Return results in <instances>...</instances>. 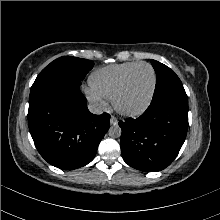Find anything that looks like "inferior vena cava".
Here are the masks:
<instances>
[{"mask_svg":"<svg viewBox=\"0 0 220 220\" xmlns=\"http://www.w3.org/2000/svg\"><path fill=\"white\" fill-rule=\"evenodd\" d=\"M88 109L92 114L100 115L103 113V105L100 102H90Z\"/></svg>","mask_w":220,"mask_h":220,"instance_id":"602c4592","label":"inferior vena cava"}]
</instances>
